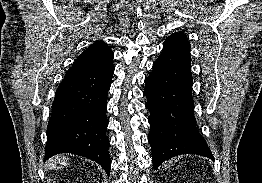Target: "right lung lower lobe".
Masks as SVG:
<instances>
[{"instance_id":"obj_1","label":"right lung lower lobe","mask_w":262,"mask_h":183,"mask_svg":"<svg viewBox=\"0 0 262 183\" xmlns=\"http://www.w3.org/2000/svg\"><path fill=\"white\" fill-rule=\"evenodd\" d=\"M113 73V63L69 68L55 93L45 161L59 153H72L97 162L109 175L106 109Z\"/></svg>"}]
</instances>
